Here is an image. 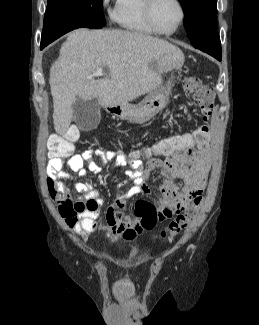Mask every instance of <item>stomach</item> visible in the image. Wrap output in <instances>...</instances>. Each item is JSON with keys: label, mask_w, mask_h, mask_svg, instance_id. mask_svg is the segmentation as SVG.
Here are the masks:
<instances>
[{"label": "stomach", "mask_w": 259, "mask_h": 325, "mask_svg": "<svg viewBox=\"0 0 259 325\" xmlns=\"http://www.w3.org/2000/svg\"><path fill=\"white\" fill-rule=\"evenodd\" d=\"M173 84L171 77L160 89L150 93L140 103H117L106 106V111L132 123H144L166 107Z\"/></svg>", "instance_id": "1"}]
</instances>
